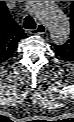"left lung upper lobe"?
I'll return each instance as SVG.
<instances>
[{
	"mask_svg": "<svg viewBox=\"0 0 74 122\" xmlns=\"http://www.w3.org/2000/svg\"><path fill=\"white\" fill-rule=\"evenodd\" d=\"M71 9V33L69 40L63 45H54L55 52L63 59L74 61V3L70 6Z\"/></svg>",
	"mask_w": 74,
	"mask_h": 122,
	"instance_id": "1",
	"label": "left lung upper lobe"
}]
</instances>
